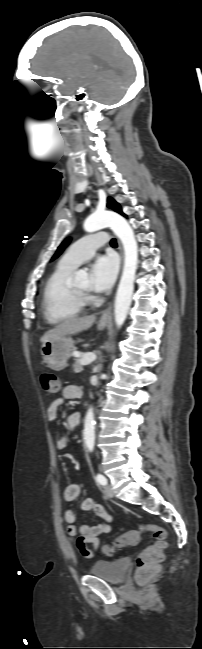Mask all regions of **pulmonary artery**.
Returning <instances> with one entry per match:
<instances>
[{
	"label": "pulmonary artery",
	"instance_id": "pulmonary-artery-1",
	"mask_svg": "<svg viewBox=\"0 0 202 649\" xmlns=\"http://www.w3.org/2000/svg\"><path fill=\"white\" fill-rule=\"evenodd\" d=\"M108 243V237L105 232H98L87 235L73 243L63 255L61 262L77 267L83 261L89 259L95 251Z\"/></svg>",
	"mask_w": 202,
	"mask_h": 649
}]
</instances>
